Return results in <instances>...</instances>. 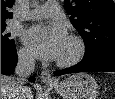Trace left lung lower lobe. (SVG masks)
Instances as JSON below:
<instances>
[{"label":"left lung lower lobe","instance_id":"0a47b994","mask_svg":"<svg viewBox=\"0 0 115 99\" xmlns=\"http://www.w3.org/2000/svg\"><path fill=\"white\" fill-rule=\"evenodd\" d=\"M93 71L115 72V51H105L92 57L83 58L78 64L58 70L54 75L59 76L68 73Z\"/></svg>","mask_w":115,"mask_h":99}]
</instances>
